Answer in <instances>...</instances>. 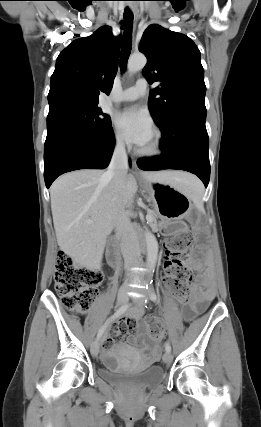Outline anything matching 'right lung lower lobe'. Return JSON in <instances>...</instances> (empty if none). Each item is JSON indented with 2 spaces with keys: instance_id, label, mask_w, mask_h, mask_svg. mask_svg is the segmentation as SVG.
<instances>
[{
  "instance_id": "98d812e1",
  "label": "right lung lower lobe",
  "mask_w": 261,
  "mask_h": 427,
  "mask_svg": "<svg viewBox=\"0 0 261 427\" xmlns=\"http://www.w3.org/2000/svg\"><path fill=\"white\" fill-rule=\"evenodd\" d=\"M115 145L112 127L99 133L63 127L47 131L44 147L46 187L61 174L78 169H104Z\"/></svg>"
}]
</instances>
